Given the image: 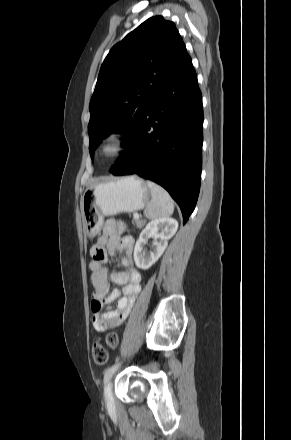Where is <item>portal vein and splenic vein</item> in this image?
Masks as SVG:
<instances>
[{"instance_id": "18ae733b", "label": "portal vein and splenic vein", "mask_w": 291, "mask_h": 440, "mask_svg": "<svg viewBox=\"0 0 291 440\" xmlns=\"http://www.w3.org/2000/svg\"><path fill=\"white\" fill-rule=\"evenodd\" d=\"M133 217H134L135 219H139V218H140V215H139L138 213H134V214H133Z\"/></svg>"}]
</instances>
